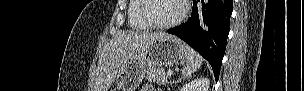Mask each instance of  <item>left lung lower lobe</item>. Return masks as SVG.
<instances>
[{"mask_svg": "<svg viewBox=\"0 0 304 91\" xmlns=\"http://www.w3.org/2000/svg\"><path fill=\"white\" fill-rule=\"evenodd\" d=\"M233 0H194L191 17L168 33L184 40L212 66L218 80L229 34Z\"/></svg>", "mask_w": 304, "mask_h": 91, "instance_id": "1", "label": "left lung lower lobe"}]
</instances>
